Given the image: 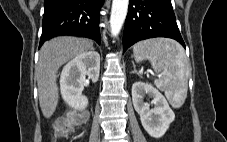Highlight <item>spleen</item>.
I'll list each match as a JSON object with an SVG mask.
<instances>
[{
  "label": "spleen",
  "mask_w": 227,
  "mask_h": 142,
  "mask_svg": "<svg viewBox=\"0 0 227 142\" xmlns=\"http://www.w3.org/2000/svg\"><path fill=\"white\" fill-rule=\"evenodd\" d=\"M137 63L148 59L158 74L155 86L164 91L170 104L181 107L186 99L189 63L183 47L174 40L155 38L138 42L133 47Z\"/></svg>",
  "instance_id": "obj_1"
}]
</instances>
